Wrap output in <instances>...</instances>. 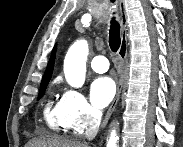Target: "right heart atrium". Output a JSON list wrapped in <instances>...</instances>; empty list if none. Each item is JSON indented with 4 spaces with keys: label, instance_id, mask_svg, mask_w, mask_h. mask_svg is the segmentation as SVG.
<instances>
[{
    "label": "right heart atrium",
    "instance_id": "right-heart-atrium-1",
    "mask_svg": "<svg viewBox=\"0 0 183 147\" xmlns=\"http://www.w3.org/2000/svg\"><path fill=\"white\" fill-rule=\"evenodd\" d=\"M60 102L65 124L75 133H84L98 122L99 112L89 104L85 96L79 91L66 90Z\"/></svg>",
    "mask_w": 183,
    "mask_h": 147
}]
</instances>
